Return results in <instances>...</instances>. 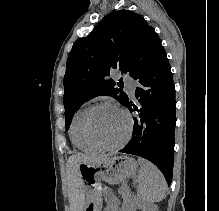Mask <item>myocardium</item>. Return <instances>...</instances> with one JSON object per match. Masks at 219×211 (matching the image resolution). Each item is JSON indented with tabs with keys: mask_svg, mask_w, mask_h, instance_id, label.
Returning a JSON list of instances; mask_svg holds the SVG:
<instances>
[{
	"mask_svg": "<svg viewBox=\"0 0 219 211\" xmlns=\"http://www.w3.org/2000/svg\"><path fill=\"white\" fill-rule=\"evenodd\" d=\"M104 106L112 107L118 110L125 117L126 122H127V128H126L125 134L117 143H114V144H106V143L100 142L99 140L96 139V137L93 135L92 130H91V118H92L94 111ZM132 125H133V121H132L131 115L125 109H123L119 105L113 102H110V101H102V102L93 104L87 109L85 116L83 118V132H84L86 139L91 144H93L94 146L100 149H107V150L117 149L123 146L130 137Z\"/></svg>",
	"mask_w": 219,
	"mask_h": 211,
	"instance_id": "obj_1",
	"label": "myocardium"
}]
</instances>
